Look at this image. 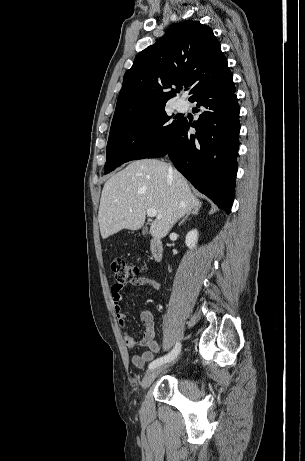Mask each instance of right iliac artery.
I'll use <instances>...</instances> for the list:
<instances>
[{"label":"right iliac artery","mask_w":305,"mask_h":461,"mask_svg":"<svg viewBox=\"0 0 305 461\" xmlns=\"http://www.w3.org/2000/svg\"><path fill=\"white\" fill-rule=\"evenodd\" d=\"M180 349H181V344L179 342L176 343L175 347L173 348V350L168 353L167 355L165 356H162L160 358H157L156 360L152 361L148 368L149 369H153V368H156L164 363H167V362H170L171 360H173L177 355L178 353L180 352Z\"/></svg>","instance_id":"obj_1"}]
</instances>
